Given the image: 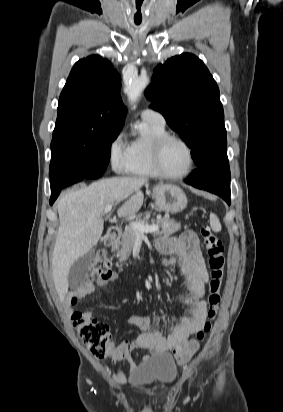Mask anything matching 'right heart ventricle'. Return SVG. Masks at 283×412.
Returning a JSON list of instances; mask_svg holds the SVG:
<instances>
[{"mask_svg": "<svg viewBox=\"0 0 283 412\" xmlns=\"http://www.w3.org/2000/svg\"><path fill=\"white\" fill-rule=\"evenodd\" d=\"M144 132L128 144L125 171L140 176H156L153 165L152 149L154 142L166 134L165 126L145 121Z\"/></svg>", "mask_w": 283, "mask_h": 412, "instance_id": "1", "label": "right heart ventricle"}]
</instances>
